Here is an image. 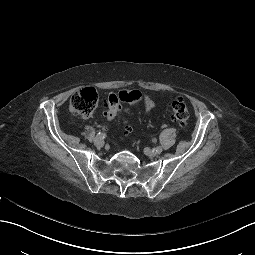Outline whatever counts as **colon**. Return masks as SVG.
<instances>
[{
  "label": "colon",
  "instance_id": "obj_1",
  "mask_svg": "<svg viewBox=\"0 0 255 255\" xmlns=\"http://www.w3.org/2000/svg\"><path fill=\"white\" fill-rule=\"evenodd\" d=\"M142 98V94L138 90H123L118 93H111L107 100V116L114 118L121 107V103L136 104ZM98 104V95L93 88H84L73 94L70 99L69 108L72 112L88 117L92 115ZM171 116L179 125H184L188 118L189 112L186 104L179 99L171 103Z\"/></svg>",
  "mask_w": 255,
  "mask_h": 255
}]
</instances>
